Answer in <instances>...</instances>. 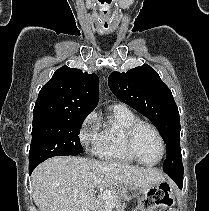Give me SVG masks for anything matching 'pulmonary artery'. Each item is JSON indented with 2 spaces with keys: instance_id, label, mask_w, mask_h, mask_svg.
<instances>
[{
  "instance_id": "1",
  "label": "pulmonary artery",
  "mask_w": 209,
  "mask_h": 211,
  "mask_svg": "<svg viewBox=\"0 0 209 211\" xmlns=\"http://www.w3.org/2000/svg\"><path fill=\"white\" fill-rule=\"evenodd\" d=\"M112 109H115V110H126L127 107L124 104L117 103V104L112 105Z\"/></svg>"
}]
</instances>
